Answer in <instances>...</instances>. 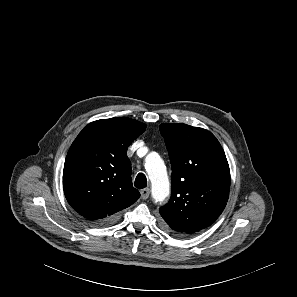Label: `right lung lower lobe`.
Instances as JSON below:
<instances>
[{"label": "right lung lower lobe", "mask_w": 297, "mask_h": 297, "mask_svg": "<svg viewBox=\"0 0 297 297\" xmlns=\"http://www.w3.org/2000/svg\"><path fill=\"white\" fill-rule=\"evenodd\" d=\"M114 218H115V216L112 217V218H110V219H108V220H104V221H102V222H100V223H101V224H107V223H110V222H112V221L114 220Z\"/></svg>", "instance_id": "1"}]
</instances>
